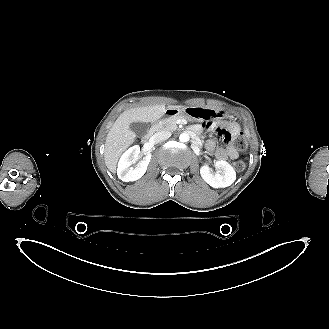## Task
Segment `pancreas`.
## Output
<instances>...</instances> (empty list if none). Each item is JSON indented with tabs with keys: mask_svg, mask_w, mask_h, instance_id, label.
<instances>
[{
	"mask_svg": "<svg viewBox=\"0 0 329 329\" xmlns=\"http://www.w3.org/2000/svg\"><path fill=\"white\" fill-rule=\"evenodd\" d=\"M182 119H186V118L182 115L171 116L169 118H165L157 122L156 127L159 130L175 131L178 128L176 125L177 121Z\"/></svg>",
	"mask_w": 329,
	"mask_h": 329,
	"instance_id": "obj_1",
	"label": "pancreas"
}]
</instances>
